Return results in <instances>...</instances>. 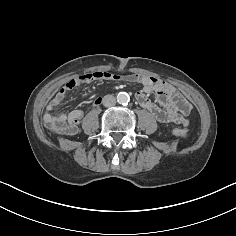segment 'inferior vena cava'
<instances>
[{"instance_id":"1","label":"inferior vena cava","mask_w":236,"mask_h":236,"mask_svg":"<svg viewBox=\"0 0 236 236\" xmlns=\"http://www.w3.org/2000/svg\"><path fill=\"white\" fill-rule=\"evenodd\" d=\"M116 104V99L113 95H105L103 97V105L105 107H113Z\"/></svg>"}]
</instances>
